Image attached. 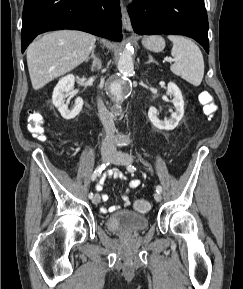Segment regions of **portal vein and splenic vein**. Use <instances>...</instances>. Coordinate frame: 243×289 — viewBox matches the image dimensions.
Returning a JSON list of instances; mask_svg holds the SVG:
<instances>
[{"label":"portal vein and splenic vein","instance_id":"portal-vein-and-splenic-vein-1","mask_svg":"<svg viewBox=\"0 0 243 289\" xmlns=\"http://www.w3.org/2000/svg\"><path fill=\"white\" fill-rule=\"evenodd\" d=\"M168 61H169V62H172V61H173V59L169 58V59H168Z\"/></svg>","mask_w":243,"mask_h":289}]
</instances>
